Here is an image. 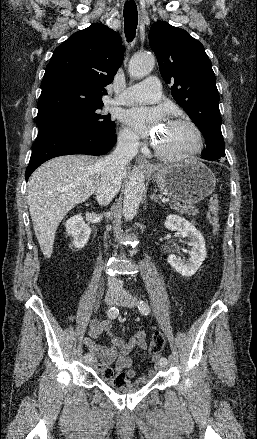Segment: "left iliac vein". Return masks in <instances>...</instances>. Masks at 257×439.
Wrapping results in <instances>:
<instances>
[{"mask_svg": "<svg viewBox=\"0 0 257 439\" xmlns=\"http://www.w3.org/2000/svg\"><path fill=\"white\" fill-rule=\"evenodd\" d=\"M119 304L126 307H135L137 303V299L133 297L128 292H122L119 298ZM166 367V364L160 363L157 365V369L162 370Z\"/></svg>", "mask_w": 257, "mask_h": 439, "instance_id": "4c4485c4", "label": "left iliac vein"}]
</instances>
